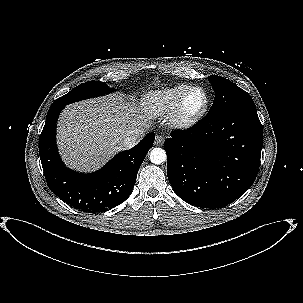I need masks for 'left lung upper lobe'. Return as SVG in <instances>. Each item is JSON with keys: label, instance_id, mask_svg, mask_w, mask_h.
I'll use <instances>...</instances> for the list:
<instances>
[{"label": "left lung upper lobe", "instance_id": "left-lung-upper-lobe-1", "mask_svg": "<svg viewBox=\"0 0 303 303\" xmlns=\"http://www.w3.org/2000/svg\"><path fill=\"white\" fill-rule=\"evenodd\" d=\"M208 79L215 91V99L207 116L256 108L251 96L230 80L217 75H211Z\"/></svg>", "mask_w": 303, "mask_h": 303}]
</instances>
